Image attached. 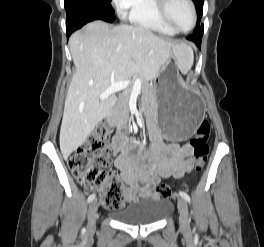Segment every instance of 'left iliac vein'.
Returning <instances> with one entry per match:
<instances>
[{
  "instance_id": "1",
  "label": "left iliac vein",
  "mask_w": 264,
  "mask_h": 247,
  "mask_svg": "<svg viewBox=\"0 0 264 247\" xmlns=\"http://www.w3.org/2000/svg\"><path fill=\"white\" fill-rule=\"evenodd\" d=\"M178 210L180 213L179 222L182 229L186 230L189 228V215L188 206L184 198H178Z\"/></svg>"
}]
</instances>
